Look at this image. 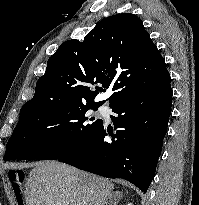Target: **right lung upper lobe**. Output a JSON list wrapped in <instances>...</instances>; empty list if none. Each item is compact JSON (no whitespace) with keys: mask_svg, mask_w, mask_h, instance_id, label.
Here are the masks:
<instances>
[{"mask_svg":"<svg viewBox=\"0 0 199 205\" xmlns=\"http://www.w3.org/2000/svg\"><path fill=\"white\" fill-rule=\"evenodd\" d=\"M168 72L142 21L131 13L102 20L83 41L68 40L48 59L45 74L36 83L34 97L26 102H94L102 88L112 86L109 105L132 92L139 80Z\"/></svg>","mask_w":199,"mask_h":205,"instance_id":"1","label":"right lung upper lobe"}]
</instances>
